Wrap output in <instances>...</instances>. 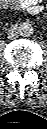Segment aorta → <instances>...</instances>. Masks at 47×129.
Returning a JSON list of instances; mask_svg holds the SVG:
<instances>
[{"label":"aorta","instance_id":"obj_1","mask_svg":"<svg viewBox=\"0 0 47 129\" xmlns=\"http://www.w3.org/2000/svg\"><path fill=\"white\" fill-rule=\"evenodd\" d=\"M33 33V28L29 23H22L19 26V34L21 36H30Z\"/></svg>","mask_w":47,"mask_h":129}]
</instances>
